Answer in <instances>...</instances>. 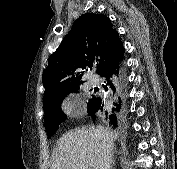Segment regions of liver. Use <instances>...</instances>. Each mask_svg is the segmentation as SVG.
<instances>
[{
	"mask_svg": "<svg viewBox=\"0 0 177 169\" xmlns=\"http://www.w3.org/2000/svg\"><path fill=\"white\" fill-rule=\"evenodd\" d=\"M113 140L117 135L108 132ZM101 140L95 128H81L64 134L57 143L50 169H103Z\"/></svg>",
	"mask_w": 177,
	"mask_h": 169,
	"instance_id": "obj_1",
	"label": "liver"
}]
</instances>
